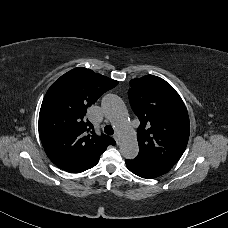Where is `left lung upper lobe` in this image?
<instances>
[{"instance_id": "1", "label": "left lung upper lobe", "mask_w": 228, "mask_h": 228, "mask_svg": "<svg viewBox=\"0 0 228 228\" xmlns=\"http://www.w3.org/2000/svg\"><path fill=\"white\" fill-rule=\"evenodd\" d=\"M130 105L140 120L139 157L173 166L186 149L190 133L187 109L165 80L146 75L130 81Z\"/></svg>"}]
</instances>
